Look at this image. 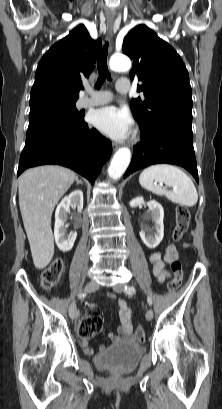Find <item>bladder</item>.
Instances as JSON below:
<instances>
[{"label":"bladder","instance_id":"31cf9c89","mask_svg":"<svg viewBox=\"0 0 222 409\" xmlns=\"http://www.w3.org/2000/svg\"><path fill=\"white\" fill-rule=\"evenodd\" d=\"M145 354V348L135 342H123L112 345L97 354L93 361L102 370H118L129 372L133 370L138 359Z\"/></svg>","mask_w":222,"mask_h":409}]
</instances>
